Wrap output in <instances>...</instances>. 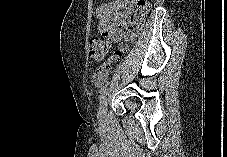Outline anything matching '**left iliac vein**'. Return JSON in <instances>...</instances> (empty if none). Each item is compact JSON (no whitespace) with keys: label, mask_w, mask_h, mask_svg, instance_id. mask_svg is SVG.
<instances>
[{"label":"left iliac vein","mask_w":227,"mask_h":157,"mask_svg":"<svg viewBox=\"0 0 227 157\" xmlns=\"http://www.w3.org/2000/svg\"><path fill=\"white\" fill-rule=\"evenodd\" d=\"M106 111H107V100L104 99L99 107L98 118L100 122H104L106 119Z\"/></svg>","instance_id":"1"}]
</instances>
